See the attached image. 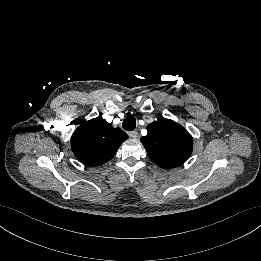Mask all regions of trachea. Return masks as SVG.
Segmentation results:
<instances>
[{"label": "trachea", "mask_w": 261, "mask_h": 261, "mask_svg": "<svg viewBox=\"0 0 261 261\" xmlns=\"http://www.w3.org/2000/svg\"><path fill=\"white\" fill-rule=\"evenodd\" d=\"M122 127L127 131H133L136 127V119L133 116H127L122 123Z\"/></svg>", "instance_id": "1"}]
</instances>
